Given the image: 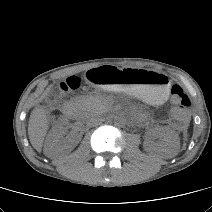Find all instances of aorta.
<instances>
[{"mask_svg": "<svg viewBox=\"0 0 212 212\" xmlns=\"http://www.w3.org/2000/svg\"><path fill=\"white\" fill-rule=\"evenodd\" d=\"M125 123H126V120H125V118L122 117V116H117V117L114 119V124H115L116 126L122 127V126L125 125Z\"/></svg>", "mask_w": 212, "mask_h": 212, "instance_id": "aorta-1", "label": "aorta"}]
</instances>
